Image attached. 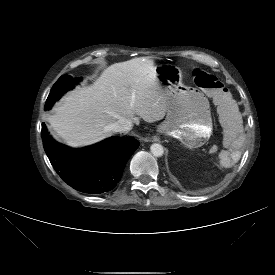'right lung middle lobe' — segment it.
I'll return each mask as SVG.
<instances>
[{
  "instance_id": "1",
  "label": "right lung middle lobe",
  "mask_w": 275,
  "mask_h": 275,
  "mask_svg": "<svg viewBox=\"0 0 275 275\" xmlns=\"http://www.w3.org/2000/svg\"><path fill=\"white\" fill-rule=\"evenodd\" d=\"M74 88L73 79L68 75L61 76L53 85L50 94L46 100L44 110H48L65 92Z\"/></svg>"
}]
</instances>
